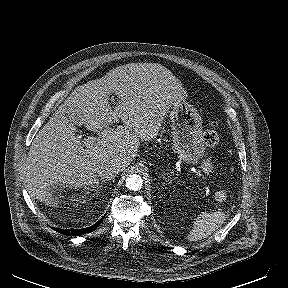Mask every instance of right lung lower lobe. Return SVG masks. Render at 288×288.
Instances as JSON below:
<instances>
[{
	"mask_svg": "<svg viewBox=\"0 0 288 288\" xmlns=\"http://www.w3.org/2000/svg\"><path fill=\"white\" fill-rule=\"evenodd\" d=\"M103 220V217L94 225L88 227V228H84V229H79V230H62V229H57V231H59L60 233H63L65 235H81V234H85V233H90L92 231H94L101 223V221ZM56 230V229H55Z\"/></svg>",
	"mask_w": 288,
	"mask_h": 288,
	"instance_id": "98d812e1",
	"label": "right lung lower lobe"
}]
</instances>
